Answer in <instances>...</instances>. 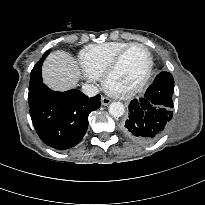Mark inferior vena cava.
<instances>
[{
    "label": "inferior vena cava",
    "instance_id": "602c4592",
    "mask_svg": "<svg viewBox=\"0 0 205 205\" xmlns=\"http://www.w3.org/2000/svg\"><path fill=\"white\" fill-rule=\"evenodd\" d=\"M82 92L88 97H93L99 93L98 88L93 84H84L82 86Z\"/></svg>",
    "mask_w": 205,
    "mask_h": 205
}]
</instances>
